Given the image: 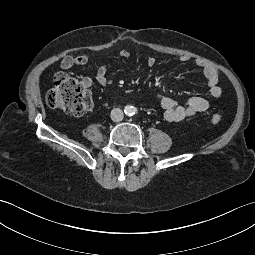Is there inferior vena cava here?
<instances>
[{"label": "inferior vena cava", "instance_id": "obj_1", "mask_svg": "<svg viewBox=\"0 0 255 255\" xmlns=\"http://www.w3.org/2000/svg\"><path fill=\"white\" fill-rule=\"evenodd\" d=\"M124 117L123 111L120 108H114L111 111V119L114 122L122 121Z\"/></svg>", "mask_w": 255, "mask_h": 255}]
</instances>
